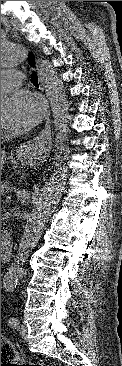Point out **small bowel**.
<instances>
[{
    "label": "small bowel",
    "mask_w": 122,
    "mask_h": 366,
    "mask_svg": "<svg viewBox=\"0 0 122 366\" xmlns=\"http://www.w3.org/2000/svg\"><path fill=\"white\" fill-rule=\"evenodd\" d=\"M15 278H16L15 271L11 270L6 274V276H5L4 280L2 281V283L5 284V285H8L11 282H13L15 280Z\"/></svg>",
    "instance_id": "obj_1"
}]
</instances>
